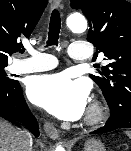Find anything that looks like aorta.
Segmentation results:
<instances>
[{"instance_id":"aorta-1","label":"aorta","mask_w":131,"mask_h":151,"mask_svg":"<svg viewBox=\"0 0 131 151\" xmlns=\"http://www.w3.org/2000/svg\"><path fill=\"white\" fill-rule=\"evenodd\" d=\"M67 26L68 28L75 33L84 32L87 28V21L81 14H71L67 18ZM56 151H65L62 146H57Z\"/></svg>"}]
</instances>
